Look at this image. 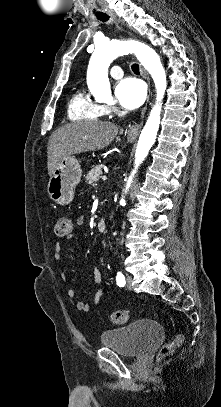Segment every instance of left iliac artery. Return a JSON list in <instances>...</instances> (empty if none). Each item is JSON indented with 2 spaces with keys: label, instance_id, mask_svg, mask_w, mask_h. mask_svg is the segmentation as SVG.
Listing matches in <instances>:
<instances>
[{
  "label": "left iliac artery",
  "instance_id": "obj_1",
  "mask_svg": "<svg viewBox=\"0 0 221 407\" xmlns=\"http://www.w3.org/2000/svg\"><path fill=\"white\" fill-rule=\"evenodd\" d=\"M116 282L119 287H124L125 285V277L121 272L117 273Z\"/></svg>",
  "mask_w": 221,
  "mask_h": 407
}]
</instances>
